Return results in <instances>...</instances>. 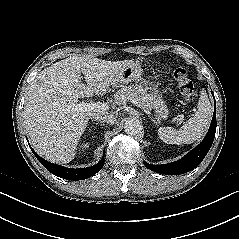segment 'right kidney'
Segmentation results:
<instances>
[{"label":"right kidney","instance_id":"obj_1","mask_svg":"<svg viewBox=\"0 0 239 239\" xmlns=\"http://www.w3.org/2000/svg\"><path fill=\"white\" fill-rule=\"evenodd\" d=\"M82 147L87 148L88 147V143L82 144Z\"/></svg>","mask_w":239,"mask_h":239}]
</instances>
